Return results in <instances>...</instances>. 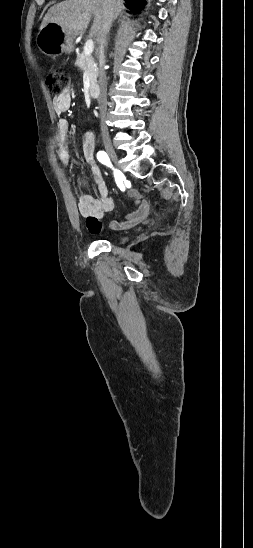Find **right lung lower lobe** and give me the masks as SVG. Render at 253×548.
Masks as SVG:
<instances>
[{
    "label": "right lung lower lobe",
    "mask_w": 253,
    "mask_h": 548,
    "mask_svg": "<svg viewBox=\"0 0 253 548\" xmlns=\"http://www.w3.org/2000/svg\"><path fill=\"white\" fill-rule=\"evenodd\" d=\"M131 7L142 9L146 4V0H125Z\"/></svg>",
    "instance_id": "98d812e1"
}]
</instances>
